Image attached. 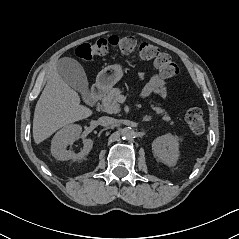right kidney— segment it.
<instances>
[{"mask_svg": "<svg viewBox=\"0 0 239 239\" xmlns=\"http://www.w3.org/2000/svg\"><path fill=\"white\" fill-rule=\"evenodd\" d=\"M82 127L77 124H70L59 130L51 142V153L57 160H81L89 154L93 147L91 139L83 140V149L79 153L67 150V146L73 144L80 136Z\"/></svg>", "mask_w": 239, "mask_h": 239, "instance_id": "right-kidney-1", "label": "right kidney"}]
</instances>
